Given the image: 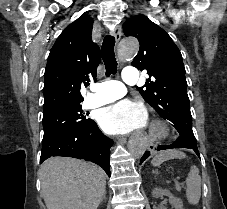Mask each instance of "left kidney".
Returning a JSON list of instances; mask_svg holds the SVG:
<instances>
[{"mask_svg":"<svg viewBox=\"0 0 227 209\" xmlns=\"http://www.w3.org/2000/svg\"><path fill=\"white\" fill-rule=\"evenodd\" d=\"M153 197L155 199H158V197H162V195H165V197H169V203L172 205V209H183V203L181 199H177V197H174L170 191H167V189H153L152 191Z\"/></svg>","mask_w":227,"mask_h":209,"instance_id":"left-kidney-1","label":"left kidney"}]
</instances>
